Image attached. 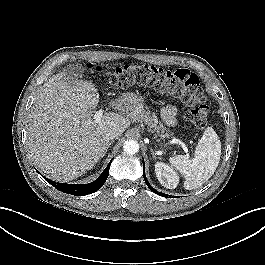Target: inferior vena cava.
I'll return each instance as SVG.
<instances>
[{
  "label": "inferior vena cava",
  "mask_w": 265,
  "mask_h": 265,
  "mask_svg": "<svg viewBox=\"0 0 265 265\" xmlns=\"http://www.w3.org/2000/svg\"><path fill=\"white\" fill-rule=\"evenodd\" d=\"M104 136L107 140H113L118 137V134L115 131H108Z\"/></svg>",
  "instance_id": "obj_1"
}]
</instances>
